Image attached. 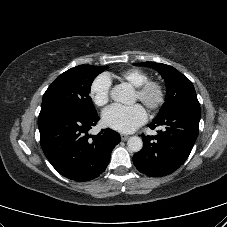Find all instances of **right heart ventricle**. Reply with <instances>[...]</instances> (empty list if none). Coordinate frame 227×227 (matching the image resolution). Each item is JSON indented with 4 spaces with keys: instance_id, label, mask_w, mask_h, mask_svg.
Masks as SVG:
<instances>
[{
    "instance_id": "1",
    "label": "right heart ventricle",
    "mask_w": 227,
    "mask_h": 227,
    "mask_svg": "<svg viewBox=\"0 0 227 227\" xmlns=\"http://www.w3.org/2000/svg\"><path fill=\"white\" fill-rule=\"evenodd\" d=\"M119 78L134 87H138L149 80V75L143 70L132 68L121 72Z\"/></svg>"
}]
</instances>
